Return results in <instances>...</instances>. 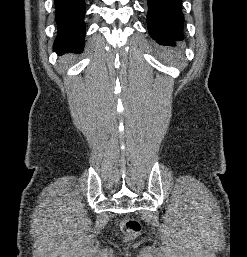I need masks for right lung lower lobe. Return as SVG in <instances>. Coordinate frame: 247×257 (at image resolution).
<instances>
[{
	"mask_svg": "<svg viewBox=\"0 0 247 257\" xmlns=\"http://www.w3.org/2000/svg\"><path fill=\"white\" fill-rule=\"evenodd\" d=\"M58 24V35L54 42V51L81 52L84 47V0H54Z\"/></svg>",
	"mask_w": 247,
	"mask_h": 257,
	"instance_id": "obj_1",
	"label": "right lung lower lobe"
}]
</instances>
